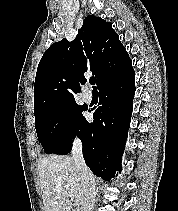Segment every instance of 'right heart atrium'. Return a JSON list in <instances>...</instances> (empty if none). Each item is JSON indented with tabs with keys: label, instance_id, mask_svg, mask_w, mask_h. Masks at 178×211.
<instances>
[{
	"label": "right heart atrium",
	"instance_id": "d8ad5b80",
	"mask_svg": "<svg viewBox=\"0 0 178 211\" xmlns=\"http://www.w3.org/2000/svg\"><path fill=\"white\" fill-rule=\"evenodd\" d=\"M62 130L66 134L71 133L74 130V125L70 119L66 118L63 120Z\"/></svg>",
	"mask_w": 178,
	"mask_h": 211
}]
</instances>
